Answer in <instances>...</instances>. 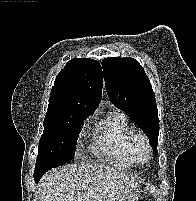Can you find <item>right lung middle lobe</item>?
<instances>
[{
  "mask_svg": "<svg viewBox=\"0 0 196 201\" xmlns=\"http://www.w3.org/2000/svg\"><path fill=\"white\" fill-rule=\"evenodd\" d=\"M89 115L83 111H71L59 116L45 117L34 175L42 176L49 169L74 158L82 120Z\"/></svg>",
  "mask_w": 196,
  "mask_h": 201,
  "instance_id": "obj_1",
  "label": "right lung middle lobe"
}]
</instances>
